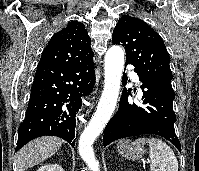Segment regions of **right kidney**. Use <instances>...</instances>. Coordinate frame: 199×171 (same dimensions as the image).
Listing matches in <instances>:
<instances>
[{
  "label": "right kidney",
  "mask_w": 199,
  "mask_h": 171,
  "mask_svg": "<svg viewBox=\"0 0 199 171\" xmlns=\"http://www.w3.org/2000/svg\"><path fill=\"white\" fill-rule=\"evenodd\" d=\"M37 171H64L62 166L53 163V164H45L41 166Z\"/></svg>",
  "instance_id": "1"
}]
</instances>
